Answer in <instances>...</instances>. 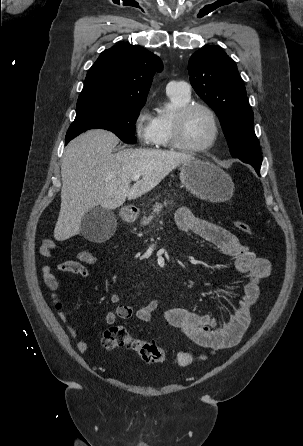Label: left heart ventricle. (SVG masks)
Returning a JSON list of instances; mask_svg holds the SVG:
<instances>
[{
	"label": "left heart ventricle",
	"mask_w": 303,
	"mask_h": 446,
	"mask_svg": "<svg viewBox=\"0 0 303 446\" xmlns=\"http://www.w3.org/2000/svg\"><path fill=\"white\" fill-rule=\"evenodd\" d=\"M212 136V124L207 113L201 109L191 112L183 126V141L190 146H202Z\"/></svg>",
	"instance_id": "1"
}]
</instances>
